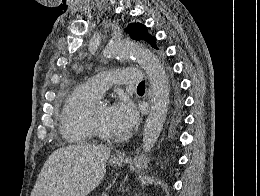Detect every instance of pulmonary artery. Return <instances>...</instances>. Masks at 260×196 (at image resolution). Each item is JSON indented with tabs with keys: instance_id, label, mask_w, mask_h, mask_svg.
Listing matches in <instances>:
<instances>
[{
	"instance_id": "1",
	"label": "pulmonary artery",
	"mask_w": 260,
	"mask_h": 196,
	"mask_svg": "<svg viewBox=\"0 0 260 196\" xmlns=\"http://www.w3.org/2000/svg\"><path fill=\"white\" fill-rule=\"evenodd\" d=\"M140 69H102L100 76H94L90 80L91 84H100L92 86L95 92L102 96L110 84H143L144 80L141 79Z\"/></svg>"
}]
</instances>
